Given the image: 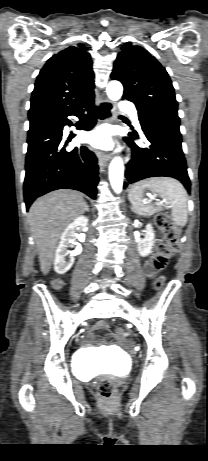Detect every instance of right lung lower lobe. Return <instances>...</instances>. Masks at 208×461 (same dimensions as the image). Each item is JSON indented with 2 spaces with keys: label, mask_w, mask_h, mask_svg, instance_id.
<instances>
[{
  "label": "right lung lower lobe",
  "mask_w": 208,
  "mask_h": 461,
  "mask_svg": "<svg viewBox=\"0 0 208 461\" xmlns=\"http://www.w3.org/2000/svg\"><path fill=\"white\" fill-rule=\"evenodd\" d=\"M83 108L29 129L24 180L26 209L37 197L61 188L79 190L95 199L99 181L96 156L85 146L66 150L70 139L64 140L62 136L63 127L72 124L67 118L71 115L81 118L77 129L94 127V100ZM84 111L87 115H83Z\"/></svg>",
  "instance_id": "right-lung-lower-lobe-1"
}]
</instances>
